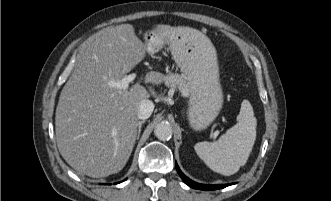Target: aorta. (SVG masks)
Listing matches in <instances>:
<instances>
[{"mask_svg": "<svg viewBox=\"0 0 331 201\" xmlns=\"http://www.w3.org/2000/svg\"><path fill=\"white\" fill-rule=\"evenodd\" d=\"M154 133L159 140L166 141L172 137L173 130L169 123L161 122L155 127Z\"/></svg>", "mask_w": 331, "mask_h": 201, "instance_id": "obj_1", "label": "aorta"}]
</instances>
